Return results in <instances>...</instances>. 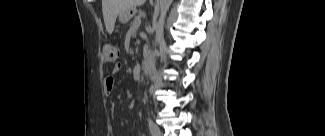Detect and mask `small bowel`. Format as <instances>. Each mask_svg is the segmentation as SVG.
Returning <instances> with one entry per match:
<instances>
[{"instance_id":"c3829d8e","label":"small bowel","mask_w":325,"mask_h":136,"mask_svg":"<svg viewBox=\"0 0 325 136\" xmlns=\"http://www.w3.org/2000/svg\"><path fill=\"white\" fill-rule=\"evenodd\" d=\"M120 70V66H116L114 68V72H118ZM114 89V76L113 75H108L105 79H104V84H103V90H104V94L106 96H110L113 92Z\"/></svg>"}]
</instances>
